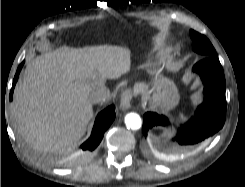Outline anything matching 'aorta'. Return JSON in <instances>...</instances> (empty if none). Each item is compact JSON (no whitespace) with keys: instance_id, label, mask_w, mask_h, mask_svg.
Returning a JSON list of instances; mask_svg holds the SVG:
<instances>
[{"instance_id":"762f6f07","label":"aorta","mask_w":245,"mask_h":187,"mask_svg":"<svg viewBox=\"0 0 245 187\" xmlns=\"http://www.w3.org/2000/svg\"><path fill=\"white\" fill-rule=\"evenodd\" d=\"M125 124L129 129L138 130L142 126V120L138 114L129 113L125 117Z\"/></svg>"}]
</instances>
